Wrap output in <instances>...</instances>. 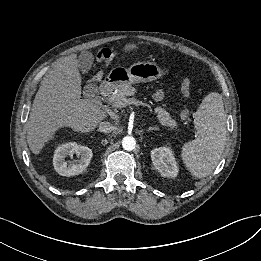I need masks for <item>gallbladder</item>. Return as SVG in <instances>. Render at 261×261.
I'll return each mask as SVG.
<instances>
[{
	"label": "gallbladder",
	"instance_id": "gallbladder-1",
	"mask_svg": "<svg viewBox=\"0 0 261 261\" xmlns=\"http://www.w3.org/2000/svg\"><path fill=\"white\" fill-rule=\"evenodd\" d=\"M93 63V56L91 54H81L78 60V65L80 71L85 74L91 68ZM84 97L94 103L99 100V92L97 90V86L94 84H89L84 88Z\"/></svg>",
	"mask_w": 261,
	"mask_h": 261
}]
</instances>
